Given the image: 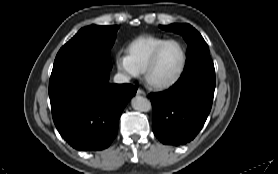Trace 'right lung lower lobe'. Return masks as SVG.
<instances>
[{"label": "right lung lower lobe", "instance_id": "98d812e1", "mask_svg": "<svg viewBox=\"0 0 278 174\" xmlns=\"http://www.w3.org/2000/svg\"><path fill=\"white\" fill-rule=\"evenodd\" d=\"M108 81L109 70L81 64L66 65L51 73L53 121L75 149H105L117 134L120 115L137 88Z\"/></svg>", "mask_w": 278, "mask_h": 174}]
</instances>
